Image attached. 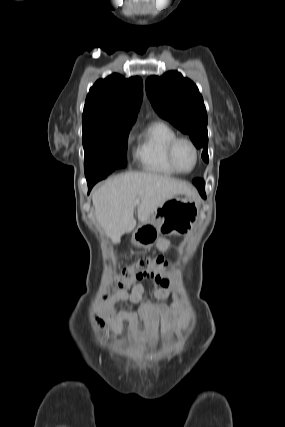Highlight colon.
<instances>
[{"label":"colon","instance_id":"5ec220e1","mask_svg":"<svg viewBox=\"0 0 285 427\" xmlns=\"http://www.w3.org/2000/svg\"><path fill=\"white\" fill-rule=\"evenodd\" d=\"M137 279H151L164 288L171 285L168 264L162 257L140 258L135 265L122 271L115 284L119 289H125Z\"/></svg>","mask_w":285,"mask_h":427}]
</instances>
